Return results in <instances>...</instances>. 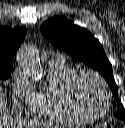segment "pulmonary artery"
<instances>
[{
	"label": "pulmonary artery",
	"instance_id": "1",
	"mask_svg": "<svg viewBox=\"0 0 125 128\" xmlns=\"http://www.w3.org/2000/svg\"><path fill=\"white\" fill-rule=\"evenodd\" d=\"M62 60H64L63 56L58 54L52 57L50 61H62Z\"/></svg>",
	"mask_w": 125,
	"mask_h": 128
}]
</instances>
